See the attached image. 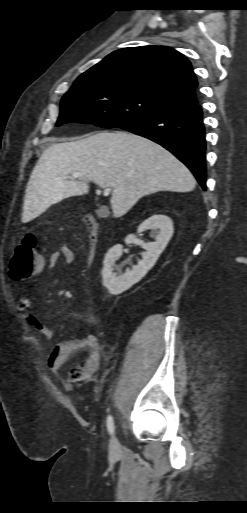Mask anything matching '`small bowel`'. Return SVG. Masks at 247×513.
<instances>
[{"mask_svg": "<svg viewBox=\"0 0 247 513\" xmlns=\"http://www.w3.org/2000/svg\"><path fill=\"white\" fill-rule=\"evenodd\" d=\"M60 260L67 265L73 264L75 262L74 251L65 246L55 250L49 257L48 267L50 269L55 268L59 264ZM44 268L45 263H43V267L40 271ZM18 310L44 341L50 342L53 340L54 331L32 312L30 308V298L28 295L24 294L20 297ZM82 318H84L87 323L92 321V317L89 316ZM83 353L87 354L86 358L68 370L67 382L69 384L88 382L95 377L101 363L102 345L94 335H87L71 340H63L53 344L45 362L48 368L57 371L69 360Z\"/></svg>", "mask_w": 247, "mask_h": 513, "instance_id": "c3829d8e", "label": "small bowel"}]
</instances>
